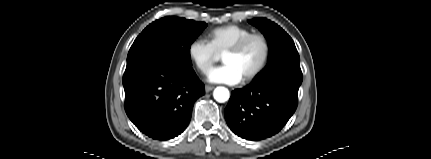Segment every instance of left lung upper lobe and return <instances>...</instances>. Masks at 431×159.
<instances>
[{"mask_svg":"<svg viewBox=\"0 0 431 159\" xmlns=\"http://www.w3.org/2000/svg\"><path fill=\"white\" fill-rule=\"evenodd\" d=\"M248 22L255 25L264 34L269 44L268 63L254 81L278 72L302 74L300 57L295 44L280 26L266 18H255Z\"/></svg>","mask_w":431,"mask_h":159,"instance_id":"1","label":"left lung upper lobe"}]
</instances>
